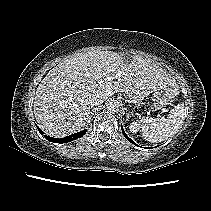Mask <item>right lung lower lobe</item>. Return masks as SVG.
<instances>
[{"label":"right lung lower lobe","instance_id":"98d812e1","mask_svg":"<svg viewBox=\"0 0 211 211\" xmlns=\"http://www.w3.org/2000/svg\"><path fill=\"white\" fill-rule=\"evenodd\" d=\"M37 128H38L40 134H43V133H44L39 127H37ZM86 131H87V130L85 129V130H83V131H81V132L74 133V134H72V135H69V136H67V137L60 138V139H58V138H53V137H50V136H45V138H46L48 141L54 142V143H67V142H70V141H73V140H75V139H77V138L82 137V136L86 133Z\"/></svg>","mask_w":211,"mask_h":211}]
</instances>
